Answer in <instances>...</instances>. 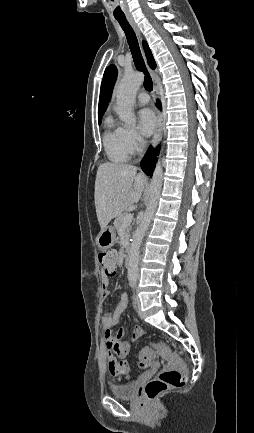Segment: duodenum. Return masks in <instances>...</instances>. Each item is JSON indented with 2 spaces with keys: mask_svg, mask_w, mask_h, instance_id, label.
Returning <instances> with one entry per match:
<instances>
[{
  "mask_svg": "<svg viewBox=\"0 0 254 433\" xmlns=\"http://www.w3.org/2000/svg\"><path fill=\"white\" fill-rule=\"evenodd\" d=\"M130 255H131V246L130 244H127L125 247V255H124V264L126 268H128L131 265Z\"/></svg>",
  "mask_w": 254,
  "mask_h": 433,
  "instance_id": "duodenum-1",
  "label": "duodenum"
}]
</instances>
